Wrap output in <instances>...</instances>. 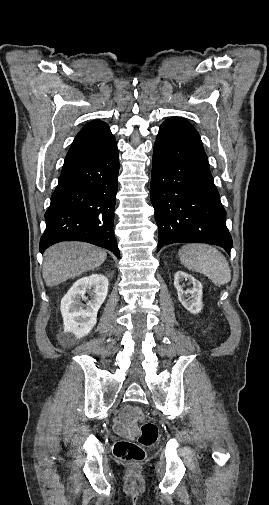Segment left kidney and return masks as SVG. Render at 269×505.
<instances>
[{"label": "left kidney", "mask_w": 269, "mask_h": 505, "mask_svg": "<svg viewBox=\"0 0 269 505\" xmlns=\"http://www.w3.org/2000/svg\"><path fill=\"white\" fill-rule=\"evenodd\" d=\"M182 280L188 281L191 288L183 290V285L180 284ZM174 287L178 292V299L185 309L192 314L201 312L202 304V284L196 280L192 275L184 272L177 271L174 276Z\"/></svg>", "instance_id": "obj_1"}]
</instances>
